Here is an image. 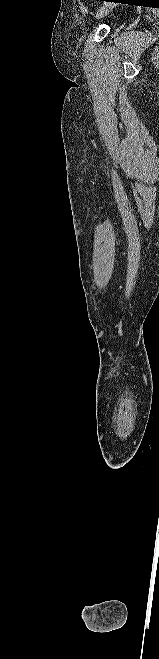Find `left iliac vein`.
Segmentation results:
<instances>
[{"instance_id": "left-iliac-vein-1", "label": "left iliac vein", "mask_w": 159, "mask_h": 659, "mask_svg": "<svg viewBox=\"0 0 159 659\" xmlns=\"http://www.w3.org/2000/svg\"><path fill=\"white\" fill-rule=\"evenodd\" d=\"M112 10V5L109 3L104 4L96 13V18L101 19Z\"/></svg>"}]
</instances>
